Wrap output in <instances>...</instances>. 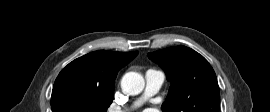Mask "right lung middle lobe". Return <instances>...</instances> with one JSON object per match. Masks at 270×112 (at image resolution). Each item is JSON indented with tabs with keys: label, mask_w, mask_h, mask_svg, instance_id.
<instances>
[{
	"label": "right lung middle lobe",
	"mask_w": 270,
	"mask_h": 112,
	"mask_svg": "<svg viewBox=\"0 0 270 112\" xmlns=\"http://www.w3.org/2000/svg\"><path fill=\"white\" fill-rule=\"evenodd\" d=\"M113 101V94L90 92L64 86L52 91V112H106Z\"/></svg>",
	"instance_id": "1"
}]
</instances>
